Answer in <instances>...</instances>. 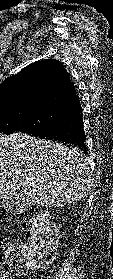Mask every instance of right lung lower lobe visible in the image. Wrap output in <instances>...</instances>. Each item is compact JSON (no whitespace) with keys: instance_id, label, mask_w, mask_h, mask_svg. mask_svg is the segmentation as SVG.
Here are the masks:
<instances>
[{"instance_id":"obj_1","label":"right lung lower lobe","mask_w":113,"mask_h":279,"mask_svg":"<svg viewBox=\"0 0 113 279\" xmlns=\"http://www.w3.org/2000/svg\"><path fill=\"white\" fill-rule=\"evenodd\" d=\"M80 106L81 105L76 109L69 111L68 115L58 123L43 127L32 135L43 139L70 144L78 147L83 152H87Z\"/></svg>"}]
</instances>
